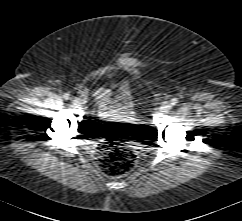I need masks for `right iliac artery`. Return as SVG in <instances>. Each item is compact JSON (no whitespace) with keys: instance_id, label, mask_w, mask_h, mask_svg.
<instances>
[{"instance_id":"right-iliac-artery-1","label":"right iliac artery","mask_w":242,"mask_h":221,"mask_svg":"<svg viewBox=\"0 0 242 221\" xmlns=\"http://www.w3.org/2000/svg\"><path fill=\"white\" fill-rule=\"evenodd\" d=\"M63 98H64L65 100H69V99H70V95H69L68 93H65V94L63 95Z\"/></svg>"}]
</instances>
